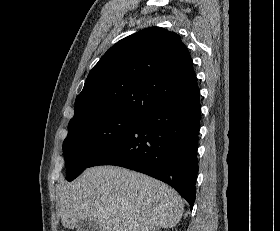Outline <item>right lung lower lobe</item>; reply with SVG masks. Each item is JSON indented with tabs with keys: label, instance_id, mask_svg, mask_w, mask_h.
<instances>
[{
	"label": "right lung lower lobe",
	"instance_id": "right-lung-lower-lobe-1",
	"mask_svg": "<svg viewBox=\"0 0 280 231\" xmlns=\"http://www.w3.org/2000/svg\"><path fill=\"white\" fill-rule=\"evenodd\" d=\"M200 94L160 105L89 167L115 165L172 186L191 206L196 195Z\"/></svg>",
	"mask_w": 280,
	"mask_h": 231
}]
</instances>
